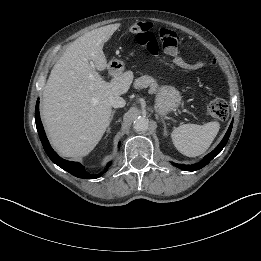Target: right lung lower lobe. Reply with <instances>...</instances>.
<instances>
[{
    "mask_svg": "<svg viewBox=\"0 0 261 261\" xmlns=\"http://www.w3.org/2000/svg\"><path fill=\"white\" fill-rule=\"evenodd\" d=\"M35 121H36V127H37V131L39 133V137L40 140L42 142V145L44 147V150L46 151L47 155L49 156V158L59 167H61L62 169H64L65 171L69 172L70 174L79 177V178H83V179H95L101 176L100 174H88L85 170L84 167L78 163V162H71V161H67L62 159L61 157H59L54 150L51 148L48 139L46 137L45 131L43 129V125L41 123L40 120V115H39V99L36 102V107H35ZM110 166V162L107 164V168ZM107 168L105 169V171L107 170Z\"/></svg>",
    "mask_w": 261,
    "mask_h": 261,
    "instance_id": "1",
    "label": "right lung lower lobe"
}]
</instances>
